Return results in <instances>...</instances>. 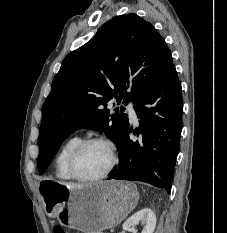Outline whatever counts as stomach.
Wrapping results in <instances>:
<instances>
[{
    "instance_id": "stomach-1",
    "label": "stomach",
    "mask_w": 227,
    "mask_h": 233,
    "mask_svg": "<svg viewBox=\"0 0 227 233\" xmlns=\"http://www.w3.org/2000/svg\"><path fill=\"white\" fill-rule=\"evenodd\" d=\"M40 196L46 214L60 224L82 231L101 233L117 226L137 205L135 185L126 181H105L79 188L44 180Z\"/></svg>"
}]
</instances>
